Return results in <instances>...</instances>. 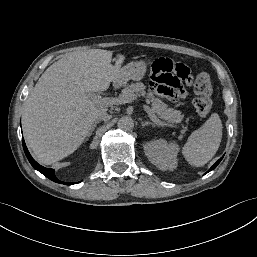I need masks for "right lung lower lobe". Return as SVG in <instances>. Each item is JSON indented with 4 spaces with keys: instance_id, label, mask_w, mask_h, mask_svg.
<instances>
[{
    "instance_id": "obj_1",
    "label": "right lung lower lobe",
    "mask_w": 257,
    "mask_h": 257,
    "mask_svg": "<svg viewBox=\"0 0 257 257\" xmlns=\"http://www.w3.org/2000/svg\"><path fill=\"white\" fill-rule=\"evenodd\" d=\"M22 143H23V149H24V152L29 160V162L31 163V165L36 169L38 170L39 172H41L44 176H46L47 178H49L50 180L54 181V182H57V183H63L65 185H71L73 183H65V182H62L60 180H58L55 176V172L53 169H49V168H45L41 165H39L30 155L26 145H25V142H24V139H22Z\"/></svg>"
}]
</instances>
